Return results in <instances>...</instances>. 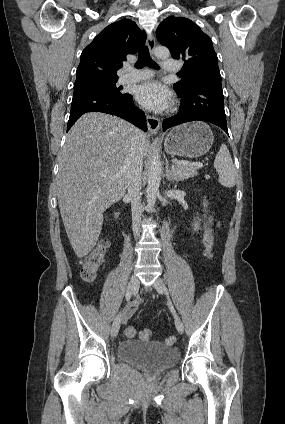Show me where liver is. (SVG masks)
<instances>
[{
    "mask_svg": "<svg viewBox=\"0 0 285 424\" xmlns=\"http://www.w3.org/2000/svg\"><path fill=\"white\" fill-rule=\"evenodd\" d=\"M135 127L118 117L91 112L81 116L60 152L57 197L63 224L78 257L96 245L103 212L127 189L126 160ZM143 156L149 139L140 138Z\"/></svg>",
    "mask_w": 285,
    "mask_h": 424,
    "instance_id": "obj_1",
    "label": "liver"
}]
</instances>
